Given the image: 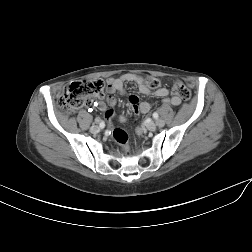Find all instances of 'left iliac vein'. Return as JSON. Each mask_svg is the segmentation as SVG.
Segmentation results:
<instances>
[{"mask_svg": "<svg viewBox=\"0 0 252 252\" xmlns=\"http://www.w3.org/2000/svg\"><path fill=\"white\" fill-rule=\"evenodd\" d=\"M164 121L162 119H158L156 122H147L146 123V128L150 131H154L156 129L157 126L162 127L164 126Z\"/></svg>", "mask_w": 252, "mask_h": 252, "instance_id": "left-iliac-vein-1", "label": "left iliac vein"}]
</instances>
